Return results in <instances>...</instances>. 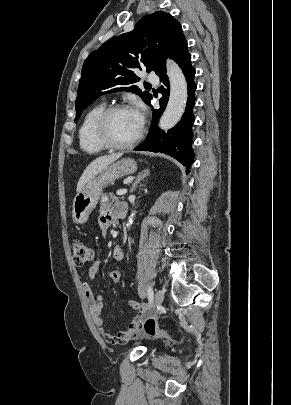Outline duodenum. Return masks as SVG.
Returning a JSON list of instances; mask_svg holds the SVG:
<instances>
[{"label": "duodenum", "instance_id": "410a0bca", "mask_svg": "<svg viewBox=\"0 0 291 405\" xmlns=\"http://www.w3.org/2000/svg\"><path fill=\"white\" fill-rule=\"evenodd\" d=\"M125 214H126V209L123 206L119 207L117 210V217L124 218Z\"/></svg>", "mask_w": 291, "mask_h": 405}]
</instances>
